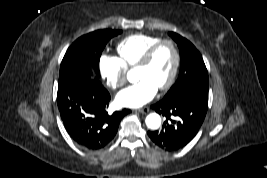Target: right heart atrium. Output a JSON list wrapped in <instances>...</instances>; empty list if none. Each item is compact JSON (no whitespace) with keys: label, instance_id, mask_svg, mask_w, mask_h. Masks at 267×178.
I'll use <instances>...</instances> for the list:
<instances>
[{"label":"right heart atrium","instance_id":"obj_1","mask_svg":"<svg viewBox=\"0 0 267 178\" xmlns=\"http://www.w3.org/2000/svg\"><path fill=\"white\" fill-rule=\"evenodd\" d=\"M99 71L108 87L118 89L126 81V68L112 55L103 54L99 58Z\"/></svg>","mask_w":267,"mask_h":178}]
</instances>
